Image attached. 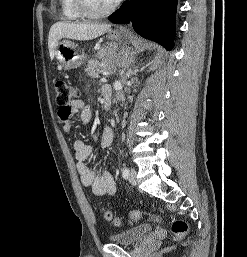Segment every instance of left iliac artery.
<instances>
[{"label":"left iliac artery","instance_id":"left-iliac-artery-1","mask_svg":"<svg viewBox=\"0 0 247 257\" xmlns=\"http://www.w3.org/2000/svg\"><path fill=\"white\" fill-rule=\"evenodd\" d=\"M128 176H129V169H128L127 167H125V168L123 169V171H122V177H123L124 179H127Z\"/></svg>","mask_w":247,"mask_h":257}]
</instances>
